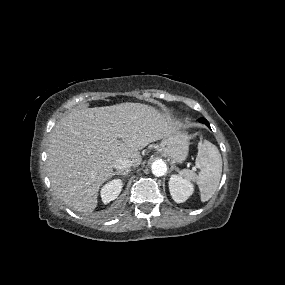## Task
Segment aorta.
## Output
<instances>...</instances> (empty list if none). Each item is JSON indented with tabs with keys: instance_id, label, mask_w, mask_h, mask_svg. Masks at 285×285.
Here are the masks:
<instances>
[{
	"instance_id": "aorta-1",
	"label": "aorta",
	"mask_w": 285,
	"mask_h": 285,
	"mask_svg": "<svg viewBox=\"0 0 285 285\" xmlns=\"http://www.w3.org/2000/svg\"><path fill=\"white\" fill-rule=\"evenodd\" d=\"M151 170L155 176L161 177L166 174L167 171L166 163L162 160H156L152 163Z\"/></svg>"
}]
</instances>
